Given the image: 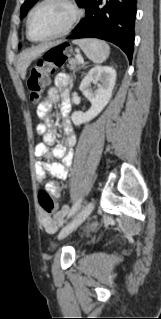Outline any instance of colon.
Listing matches in <instances>:
<instances>
[{"label":"colon","mask_w":161,"mask_h":319,"mask_svg":"<svg viewBox=\"0 0 161 319\" xmlns=\"http://www.w3.org/2000/svg\"><path fill=\"white\" fill-rule=\"evenodd\" d=\"M72 54L73 49L71 46L58 44L46 51L38 60L27 80L33 101H37L40 98L43 88L49 83V71L63 66L71 58ZM38 202L40 207L46 212H52L57 206L51 194L45 189L39 191Z\"/></svg>","instance_id":"1"}]
</instances>
